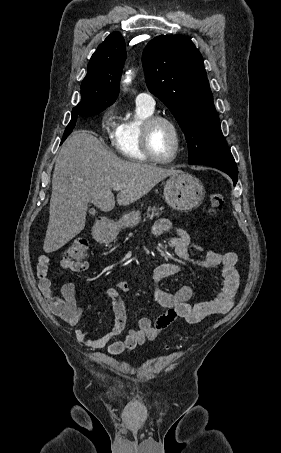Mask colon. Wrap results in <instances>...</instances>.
Here are the masks:
<instances>
[{
	"label": "colon",
	"instance_id": "5ec220e1",
	"mask_svg": "<svg viewBox=\"0 0 281 453\" xmlns=\"http://www.w3.org/2000/svg\"><path fill=\"white\" fill-rule=\"evenodd\" d=\"M209 208L213 211H219L224 206V197L221 193H213L208 196ZM87 240L85 238L72 239L64 253L65 262H87L89 259L87 251Z\"/></svg>",
	"mask_w": 281,
	"mask_h": 453
}]
</instances>
